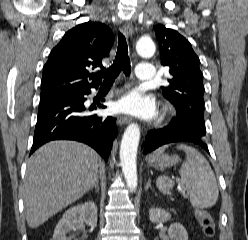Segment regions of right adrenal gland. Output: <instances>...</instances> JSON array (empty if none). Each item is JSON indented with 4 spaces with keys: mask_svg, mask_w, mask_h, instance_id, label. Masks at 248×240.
<instances>
[{
    "mask_svg": "<svg viewBox=\"0 0 248 240\" xmlns=\"http://www.w3.org/2000/svg\"><path fill=\"white\" fill-rule=\"evenodd\" d=\"M93 188L96 189V192H99L98 180L95 182L94 186L91 189H93Z\"/></svg>",
    "mask_w": 248,
    "mask_h": 240,
    "instance_id": "1",
    "label": "right adrenal gland"
}]
</instances>
